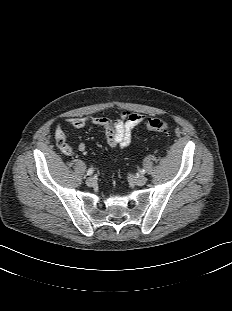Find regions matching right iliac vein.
<instances>
[{"label": "right iliac vein", "mask_w": 232, "mask_h": 311, "mask_svg": "<svg viewBox=\"0 0 232 311\" xmlns=\"http://www.w3.org/2000/svg\"><path fill=\"white\" fill-rule=\"evenodd\" d=\"M87 186H93L95 184V179L93 177H88L86 179Z\"/></svg>", "instance_id": "1"}]
</instances>
